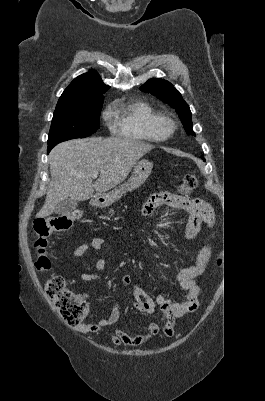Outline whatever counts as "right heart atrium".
Returning a JSON list of instances; mask_svg holds the SVG:
<instances>
[{"label": "right heart atrium", "mask_w": 265, "mask_h": 401, "mask_svg": "<svg viewBox=\"0 0 265 401\" xmlns=\"http://www.w3.org/2000/svg\"><path fill=\"white\" fill-rule=\"evenodd\" d=\"M105 118H108V114L107 113H105Z\"/></svg>", "instance_id": "right-heart-atrium-1"}]
</instances>
